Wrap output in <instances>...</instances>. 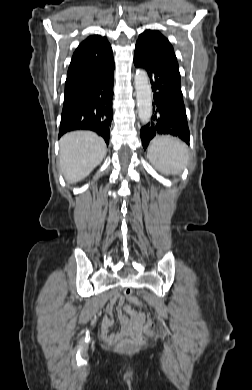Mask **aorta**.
Returning a JSON list of instances; mask_svg holds the SVG:
<instances>
[{"label":"aorta","instance_id":"762f6f07","mask_svg":"<svg viewBox=\"0 0 252 390\" xmlns=\"http://www.w3.org/2000/svg\"><path fill=\"white\" fill-rule=\"evenodd\" d=\"M134 82L139 119L147 124L152 116V89L147 72L143 69L136 70Z\"/></svg>","mask_w":252,"mask_h":390}]
</instances>
